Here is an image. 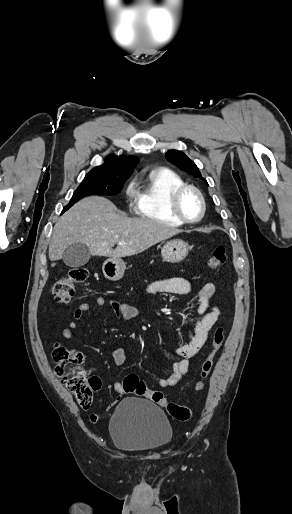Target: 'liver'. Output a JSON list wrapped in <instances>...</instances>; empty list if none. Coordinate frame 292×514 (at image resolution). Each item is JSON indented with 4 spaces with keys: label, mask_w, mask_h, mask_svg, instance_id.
Segmentation results:
<instances>
[{
    "label": "liver",
    "mask_w": 292,
    "mask_h": 514,
    "mask_svg": "<svg viewBox=\"0 0 292 514\" xmlns=\"http://www.w3.org/2000/svg\"><path fill=\"white\" fill-rule=\"evenodd\" d=\"M179 232L183 230L153 222L149 218H127L110 200L89 196L77 202L55 224L49 260H61L65 248L77 242L86 244L92 256H135ZM114 244H117V248L112 250Z\"/></svg>",
    "instance_id": "obj_1"
}]
</instances>
